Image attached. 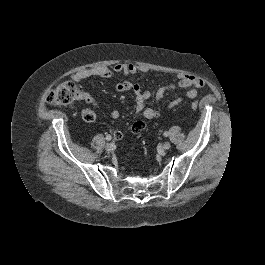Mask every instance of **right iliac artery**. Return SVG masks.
<instances>
[{"label":"right iliac artery","instance_id":"right-iliac-artery-1","mask_svg":"<svg viewBox=\"0 0 265 265\" xmlns=\"http://www.w3.org/2000/svg\"><path fill=\"white\" fill-rule=\"evenodd\" d=\"M111 139H112V137H111L110 135H107V136H106V140H107V141H110Z\"/></svg>","mask_w":265,"mask_h":265}]
</instances>
